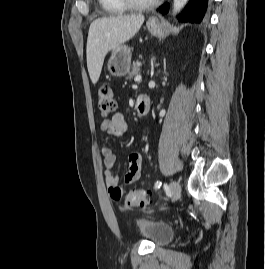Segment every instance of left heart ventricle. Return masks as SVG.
Segmentation results:
<instances>
[{
	"mask_svg": "<svg viewBox=\"0 0 265 269\" xmlns=\"http://www.w3.org/2000/svg\"><path fill=\"white\" fill-rule=\"evenodd\" d=\"M138 1H147V0H138Z\"/></svg>",
	"mask_w": 265,
	"mask_h": 269,
	"instance_id": "obj_1",
	"label": "left heart ventricle"
}]
</instances>
